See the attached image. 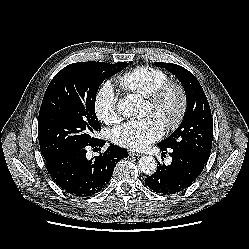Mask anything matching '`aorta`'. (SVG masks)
I'll return each mask as SVG.
<instances>
[{"instance_id": "1", "label": "aorta", "mask_w": 249, "mask_h": 249, "mask_svg": "<svg viewBox=\"0 0 249 249\" xmlns=\"http://www.w3.org/2000/svg\"><path fill=\"white\" fill-rule=\"evenodd\" d=\"M142 107L141 99L134 94H129L120 99L117 108L118 111L126 117L138 116ZM138 168L141 172L151 175L156 172L157 161L152 156H143L139 159Z\"/></svg>"}]
</instances>
